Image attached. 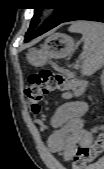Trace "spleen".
<instances>
[{"label":"spleen","instance_id":"3e777b00","mask_svg":"<svg viewBox=\"0 0 104 169\" xmlns=\"http://www.w3.org/2000/svg\"><path fill=\"white\" fill-rule=\"evenodd\" d=\"M70 32L82 34L83 50L86 58L82 64L81 74L91 76L104 64V26L96 22H75Z\"/></svg>","mask_w":104,"mask_h":169}]
</instances>
